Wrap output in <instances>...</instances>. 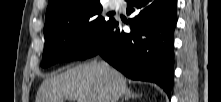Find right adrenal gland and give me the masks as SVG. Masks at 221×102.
<instances>
[{
	"label": "right adrenal gland",
	"instance_id": "1",
	"mask_svg": "<svg viewBox=\"0 0 221 102\" xmlns=\"http://www.w3.org/2000/svg\"><path fill=\"white\" fill-rule=\"evenodd\" d=\"M142 96L141 94H137V93H134L132 92V90L128 89L126 90V92L124 93V96L121 100V102H127L129 99H133V98H137V97H140Z\"/></svg>",
	"mask_w": 221,
	"mask_h": 102
}]
</instances>
